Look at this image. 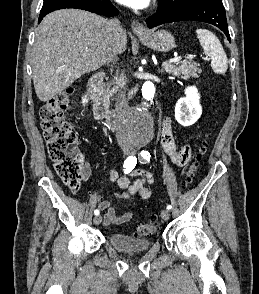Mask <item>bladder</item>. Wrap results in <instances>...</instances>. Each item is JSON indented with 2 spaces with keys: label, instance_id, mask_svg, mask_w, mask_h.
<instances>
[{
  "label": "bladder",
  "instance_id": "obj_1",
  "mask_svg": "<svg viewBox=\"0 0 259 294\" xmlns=\"http://www.w3.org/2000/svg\"><path fill=\"white\" fill-rule=\"evenodd\" d=\"M108 242L115 249L125 253L143 252L151 246V241L148 239L135 238L118 232L110 234Z\"/></svg>",
  "mask_w": 259,
  "mask_h": 294
}]
</instances>
